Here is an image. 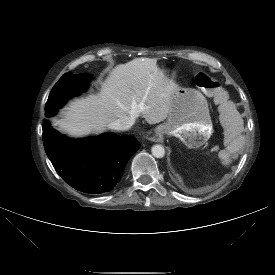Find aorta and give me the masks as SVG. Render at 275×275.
I'll return each mask as SVG.
<instances>
[{"instance_id": "1", "label": "aorta", "mask_w": 275, "mask_h": 275, "mask_svg": "<svg viewBox=\"0 0 275 275\" xmlns=\"http://www.w3.org/2000/svg\"><path fill=\"white\" fill-rule=\"evenodd\" d=\"M152 155L156 158H163L165 155V149L161 145H154L151 149Z\"/></svg>"}]
</instances>
